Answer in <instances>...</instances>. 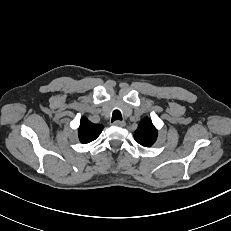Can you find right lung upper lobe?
I'll list each match as a JSON object with an SVG mask.
<instances>
[{"mask_svg":"<svg viewBox=\"0 0 231 231\" xmlns=\"http://www.w3.org/2000/svg\"><path fill=\"white\" fill-rule=\"evenodd\" d=\"M100 124L91 123L86 117H82L78 129L79 140L86 144L95 140L103 130Z\"/></svg>","mask_w":231,"mask_h":231,"instance_id":"1","label":"right lung upper lobe"}]
</instances>
